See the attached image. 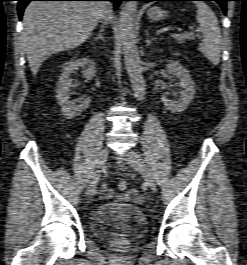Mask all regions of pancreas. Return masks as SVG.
Instances as JSON below:
<instances>
[{
  "instance_id": "obj_1",
  "label": "pancreas",
  "mask_w": 247,
  "mask_h": 265,
  "mask_svg": "<svg viewBox=\"0 0 247 265\" xmlns=\"http://www.w3.org/2000/svg\"><path fill=\"white\" fill-rule=\"evenodd\" d=\"M174 38L178 43H185L187 40H193L195 37L192 34L184 33L180 35H175Z\"/></svg>"
}]
</instances>
